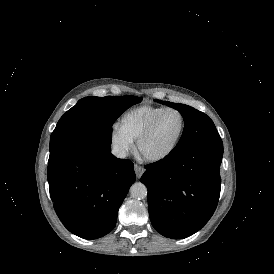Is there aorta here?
Masks as SVG:
<instances>
[{
  "label": "aorta",
  "mask_w": 274,
  "mask_h": 274,
  "mask_svg": "<svg viewBox=\"0 0 274 274\" xmlns=\"http://www.w3.org/2000/svg\"><path fill=\"white\" fill-rule=\"evenodd\" d=\"M130 195L134 199H144L147 196V188L141 182H135L130 188Z\"/></svg>",
  "instance_id": "obj_1"
}]
</instances>
